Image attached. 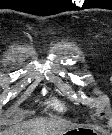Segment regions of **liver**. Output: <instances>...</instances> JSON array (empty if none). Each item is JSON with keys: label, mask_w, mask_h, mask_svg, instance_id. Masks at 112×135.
Here are the masks:
<instances>
[{"label": "liver", "mask_w": 112, "mask_h": 135, "mask_svg": "<svg viewBox=\"0 0 112 135\" xmlns=\"http://www.w3.org/2000/svg\"><path fill=\"white\" fill-rule=\"evenodd\" d=\"M68 127L58 121L36 119L23 123L19 127V135H62Z\"/></svg>", "instance_id": "6515ba94"}]
</instances>
